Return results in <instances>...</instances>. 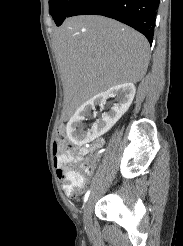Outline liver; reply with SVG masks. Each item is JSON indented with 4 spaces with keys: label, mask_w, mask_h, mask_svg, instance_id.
I'll return each mask as SVG.
<instances>
[{
    "label": "liver",
    "mask_w": 183,
    "mask_h": 246,
    "mask_svg": "<svg viewBox=\"0 0 183 246\" xmlns=\"http://www.w3.org/2000/svg\"><path fill=\"white\" fill-rule=\"evenodd\" d=\"M53 43L70 108L113 86L139 82L149 64L146 38L103 16L68 18L55 30Z\"/></svg>",
    "instance_id": "1"
}]
</instances>
